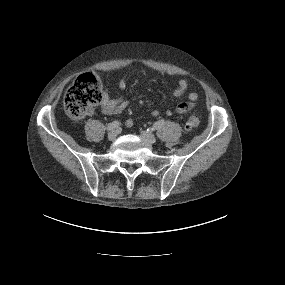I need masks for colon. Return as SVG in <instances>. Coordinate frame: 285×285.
<instances>
[{"mask_svg": "<svg viewBox=\"0 0 285 285\" xmlns=\"http://www.w3.org/2000/svg\"><path fill=\"white\" fill-rule=\"evenodd\" d=\"M102 99V82L100 75L95 71H87L80 75L69 88L64 108L74 120L83 119L92 111ZM199 125L196 114H191L185 124L187 131H193Z\"/></svg>", "mask_w": 285, "mask_h": 285, "instance_id": "5ec220e1", "label": "colon"}]
</instances>
